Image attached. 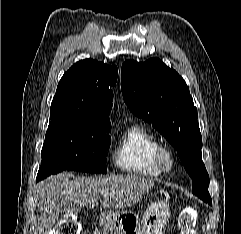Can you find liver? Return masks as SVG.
Here are the masks:
<instances>
[{"instance_id":"1","label":"liver","mask_w":241,"mask_h":234,"mask_svg":"<svg viewBox=\"0 0 241 234\" xmlns=\"http://www.w3.org/2000/svg\"><path fill=\"white\" fill-rule=\"evenodd\" d=\"M153 186V180L135 174L74 180L67 173L50 176L37 185L40 222L35 234H49L54 230L62 212L97 207L100 196L101 205L112 212L137 203Z\"/></svg>"}]
</instances>
